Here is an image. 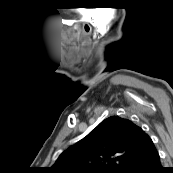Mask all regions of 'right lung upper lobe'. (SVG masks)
Segmentation results:
<instances>
[{
	"instance_id": "obj_1",
	"label": "right lung upper lobe",
	"mask_w": 173,
	"mask_h": 173,
	"mask_svg": "<svg viewBox=\"0 0 173 173\" xmlns=\"http://www.w3.org/2000/svg\"><path fill=\"white\" fill-rule=\"evenodd\" d=\"M154 148L142 128L112 116L65 150L49 173H121L130 161Z\"/></svg>"
}]
</instances>
